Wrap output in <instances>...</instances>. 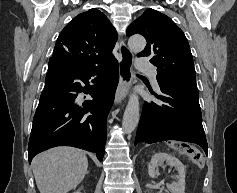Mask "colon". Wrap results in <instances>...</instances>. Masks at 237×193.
<instances>
[{
  "instance_id": "colon-1",
  "label": "colon",
  "mask_w": 237,
  "mask_h": 193,
  "mask_svg": "<svg viewBox=\"0 0 237 193\" xmlns=\"http://www.w3.org/2000/svg\"><path fill=\"white\" fill-rule=\"evenodd\" d=\"M180 150L186 155H188L192 162L196 164L199 168H202L204 166V155L201 151L189 147L187 145L181 146Z\"/></svg>"
}]
</instances>
